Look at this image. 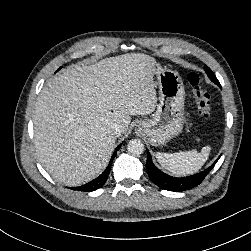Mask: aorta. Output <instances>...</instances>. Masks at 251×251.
<instances>
[{
	"instance_id": "aorta-1",
	"label": "aorta",
	"mask_w": 251,
	"mask_h": 251,
	"mask_svg": "<svg viewBox=\"0 0 251 251\" xmlns=\"http://www.w3.org/2000/svg\"><path fill=\"white\" fill-rule=\"evenodd\" d=\"M129 154L138 156L144 152V144L140 139H132L127 144Z\"/></svg>"
}]
</instances>
